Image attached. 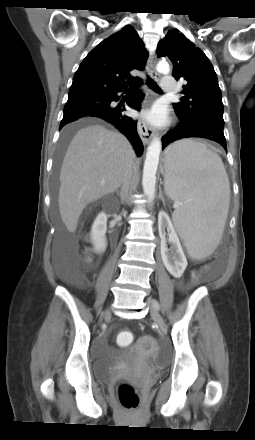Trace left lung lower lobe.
Here are the masks:
<instances>
[{"instance_id": "0a47b994", "label": "left lung lower lobe", "mask_w": 255, "mask_h": 440, "mask_svg": "<svg viewBox=\"0 0 255 440\" xmlns=\"http://www.w3.org/2000/svg\"><path fill=\"white\" fill-rule=\"evenodd\" d=\"M224 123L211 119L186 120L180 117L178 126L163 136L164 149L168 144L189 137H201L219 143L227 152Z\"/></svg>"}]
</instances>
